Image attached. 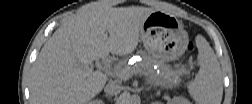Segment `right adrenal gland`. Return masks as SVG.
<instances>
[{
    "label": "right adrenal gland",
    "instance_id": "obj_1",
    "mask_svg": "<svg viewBox=\"0 0 252 104\" xmlns=\"http://www.w3.org/2000/svg\"><path fill=\"white\" fill-rule=\"evenodd\" d=\"M105 97H110V95H108V94H105Z\"/></svg>",
    "mask_w": 252,
    "mask_h": 104
}]
</instances>
